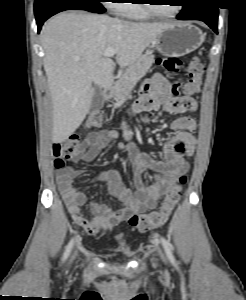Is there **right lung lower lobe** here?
I'll list each match as a JSON object with an SVG mask.
<instances>
[{"label": "right lung lower lobe", "instance_id": "obj_1", "mask_svg": "<svg viewBox=\"0 0 246 300\" xmlns=\"http://www.w3.org/2000/svg\"><path fill=\"white\" fill-rule=\"evenodd\" d=\"M72 9L103 13L100 10L91 7L83 0H50L42 6L35 8V18L38 25V33L40 32L44 21H46L49 17L58 12Z\"/></svg>", "mask_w": 246, "mask_h": 300}]
</instances>
